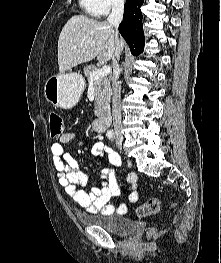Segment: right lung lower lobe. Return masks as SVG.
<instances>
[{"mask_svg":"<svg viewBox=\"0 0 221 263\" xmlns=\"http://www.w3.org/2000/svg\"><path fill=\"white\" fill-rule=\"evenodd\" d=\"M144 0H127L124 6L123 21L119 32L130 47L133 55H139L144 49V32L140 7Z\"/></svg>","mask_w":221,"mask_h":263,"instance_id":"obj_1","label":"right lung lower lobe"}]
</instances>
